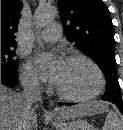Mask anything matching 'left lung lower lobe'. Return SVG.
Wrapping results in <instances>:
<instances>
[{
	"label": "left lung lower lobe",
	"mask_w": 123,
	"mask_h": 130,
	"mask_svg": "<svg viewBox=\"0 0 123 130\" xmlns=\"http://www.w3.org/2000/svg\"><path fill=\"white\" fill-rule=\"evenodd\" d=\"M59 105H63L62 103H60ZM120 112L123 114V108H119Z\"/></svg>",
	"instance_id": "1"
}]
</instances>
